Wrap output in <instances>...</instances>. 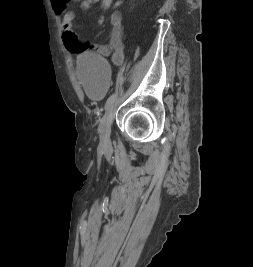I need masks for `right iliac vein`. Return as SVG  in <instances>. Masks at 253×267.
<instances>
[{"label": "right iliac vein", "instance_id": "obj_1", "mask_svg": "<svg viewBox=\"0 0 253 267\" xmlns=\"http://www.w3.org/2000/svg\"><path fill=\"white\" fill-rule=\"evenodd\" d=\"M115 110L116 104L114 101L113 104L106 110L99 125V136L104 145H108L110 143L111 123L115 115Z\"/></svg>", "mask_w": 253, "mask_h": 267}]
</instances>
